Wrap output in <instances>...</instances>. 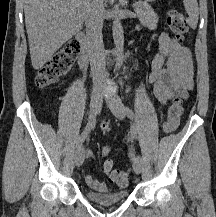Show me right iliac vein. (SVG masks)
<instances>
[{
	"mask_svg": "<svg viewBox=\"0 0 216 217\" xmlns=\"http://www.w3.org/2000/svg\"><path fill=\"white\" fill-rule=\"evenodd\" d=\"M102 105V89L97 88L92 92L90 101V113H97ZM85 160V150L83 147L77 149L75 154V165L81 166Z\"/></svg>",
	"mask_w": 216,
	"mask_h": 217,
	"instance_id": "63e3f726",
	"label": "right iliac vein"
}]
</instances>
